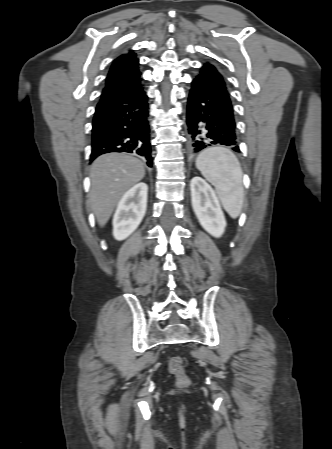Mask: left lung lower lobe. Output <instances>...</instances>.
Listing matches in <instances>:
<instances>
[{
  "label": "left lung lower lobe",
  "instance_id": "1",
  "mask_svg": "<svg viewBox=\"0 0 332 449\" xmlns=\"http://www.w3.org/2000/svg\"><path fill=\"white\" fill-rule=\"evenodd\" d=\"M187 133L190 153L212 145L240 152L227 85L216 67L209 63L203 65L191 83Z\"/></svg>",
  "mask_w": 332,
  "mask_h": 449
}]
</instances>
